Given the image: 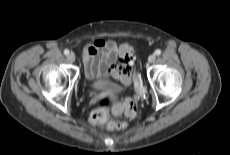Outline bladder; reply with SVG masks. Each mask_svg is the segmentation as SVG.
Instances as JSON below:
<instances>
[{"mask_svg": "<svg viewBox=\"0 0 230 155\" xmlns=\"http://www.w3.org/2000/svg\"><path fill=\"white\" fill-rule=\"evenodd\" d=\"M94 87L99 88V89H104V88H108V89H113V90H117L118 86L111 84V83H103V82H95L94 83Z\"/></svg>", "mask_w": 230, "mask_h": 155, "instance_id": "obj_1", "label": "bladder"}]
</instances>
